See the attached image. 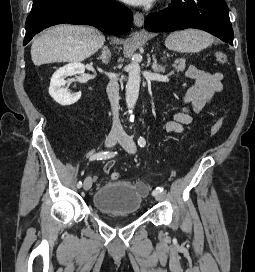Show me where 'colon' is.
Wrapping results in <instances>:
<instances>
[{"label":"colon","instance_id":"colon-1","mask_svg":"<svg viewBox=\"0 0 255 272\" xmlns=\"http://www.w3.org/2000/svg\"><path fill=\"white\" fill-rule=\"evenodd\" d=\"M215 59L220 65H226L228 63V56L227 53L224 51H217L215 53ZM222 127V119H217L212 125L209 130V135L211 137H214L217 135ZM119 173L118 172H112L110 177L112 180H118L119 179ZM140 192L145 193L147 191V188L143 184H139Z\"/></svg>","mask_w":255,"mask_h":272}]
</instances>
